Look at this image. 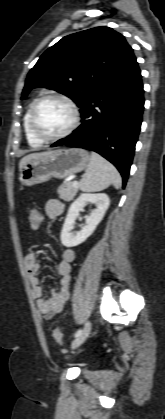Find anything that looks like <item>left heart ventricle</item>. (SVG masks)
<instances>
[{
    "instance_id": "left-heart-ventricle-1",
    "label": "left heart ventricle",
    "mask_w": 165,
    "mask_h": 419,
    "mask_svg": "<svg viewBox=\"0 0 165 419\" xmlns=\"http://www.w3.org/2000/svg\"><path fill=\"white\" fill-rule=\"evenodd\" d=\"M71 119L69 108L56 100L43 102L36 113L37 127L45 136H54L63 132L69 126Z\"/></svg>"
}]
</instances>
